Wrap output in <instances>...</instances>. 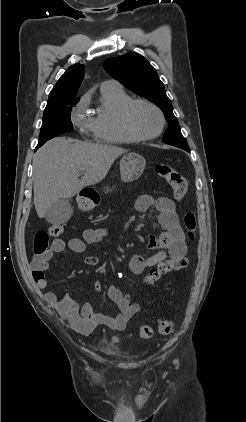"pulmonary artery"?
<instances>
[{"label": "pulmonary artery", "mask_w": 246, "mask_h": 422, "mask_svg": "<svg viewBox=\"0 0 246 422\" xmlns=\"http://www.w3.org/2000/svg\"><path fill=\"white\" fill-rule=\"evenodd\" d=\"M113 86H118L119 87V85H118L117 82L109 80V81L103 82L101 88L113 87Z\"/></svg>", "instance_id": "1"}]
</instances>
